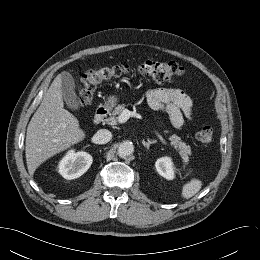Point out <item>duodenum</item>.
Returning a JSON list of instances; mask_svg holds the SVG:
<instances>
[{
  "label": "duodenum",
  "mask_w": 260,
  "mask_h": 260,
  "mask_svg": "<svg viewBox=\"0 0 260 260\" xmlns=\"http://www.w3.org/2000/svg\"><path fill=\"white\" fill-rule=\"evenodd\" d=\"M108 115V108L106 106H100L97 108L92 122L93 124L97 125L99 123H101Z\"/></svg>",
  "instance_id": "obj_1"
}]
</instances>
